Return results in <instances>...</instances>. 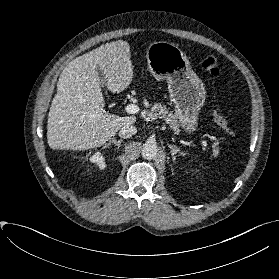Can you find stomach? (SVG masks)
Here are the masks:
<instances>
[{"mask_svg":"<svg viewBox=\"0 0 279 279\" xmlns=\"http://www.w3.org/2000/svg\"><path fill=\"white\" fill-rule=\"evenodd\" d=\"M146 58L150 73L158 80H167L170 99L182 129L193 133L197 129L206 90L192 70L188 57L178 46L159 41L149 45Z\"/></svg>","mask_w":279,"mask_h":279,"instance_id":"1","label":"stomach"}]
</instances>
